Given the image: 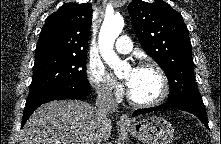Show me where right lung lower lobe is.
Returning <instances> with one entry per match:
<instances>
[{
	"instance_id": "obj_1",
	"label": "right lung lower lobe",
	"mask_w": 221,
	"mask_h": 144,
	"mask_svg": "<svg viewBox=\"0 0 221 144\" xmlns=\"http://www.w3.org/2000/svg\"><path fill=\"white\" fill-rule=\"evenodd\" d=\"M91 94L90 87L59 86L26 101L21 126L25 124L30 115L42 104L53 100L83 99Z\"/></svg>"
}]
</instances>
